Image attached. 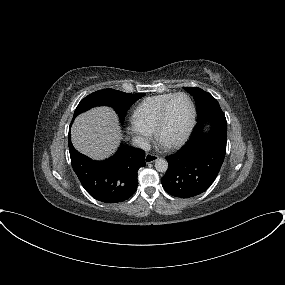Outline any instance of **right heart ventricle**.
Here are the masks:
<instances>
[{"label":"right heart ventricle","instance_id":"e07e8e85","mask_svg":"<svg viewBox=\"0 0 285 285\" xmlns=\"http://www.w3.org/2000/svg\"><path fill=\"white\" fill-rule=\"evenodd\" d=\"M173 94L166 93L144 99L134 109L132 118L150 130H154L163 106Z\"/></svg>","mask_w":285,"mask_h":285}]
</instances>
